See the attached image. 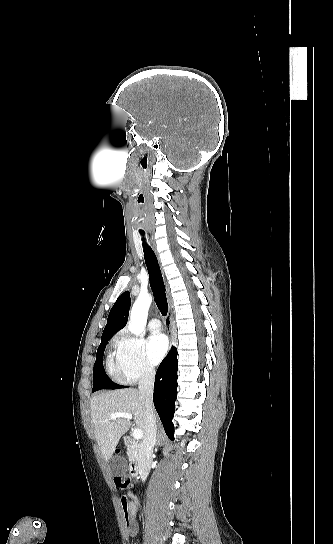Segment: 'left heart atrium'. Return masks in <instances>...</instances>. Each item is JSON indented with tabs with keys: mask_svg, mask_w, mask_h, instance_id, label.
<instances>
[{
	"mask_svg": "<svg viewBox=\"0 0 333 544\" xmlns=\"http://www.w3.org/2000/svg\"><path fill=\"white\" fill-rule=\"evenodd\" d=\"M168 350V340L163 334H153L146 340V353L153 364H158Z\"/></svg>",
	"mask_w": 333,
	"mask_h": 544,
	"instance_id": "left-heart-atrium-1",
	"label": "left heart atrium"
}]
</instances>
